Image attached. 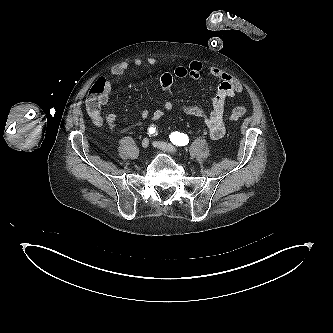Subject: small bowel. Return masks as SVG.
Segmentation results:
<instances>
[{
    "label": "small bowel",
    "mask_w": 333,
    "mask_h": 333,
    "mask_svg": "<svg viewBox=\"0 0 333 333\" xmlns=\"http://www.w3.org/2000/svg\"><path fill=\"white\" fill-rule=\"evenodd\" d=\"M156 59L153 57L147 58L146 63L148 65H155ZM136 67H140L144 64V61L140 58H136L133 61ZM129 68L128 62H120L114 65L110 73L112 76L120 77L125 74ZM202 71V64L199 61L193 60L187 66H178L174 69L173 73H165L160 78V85L163 93L169 96L172 91L173 78H185L190 77L191 79H198ZM211 76L218 80V84L215 89L214 96L211 101V108L209 111L193 106V105H183L181 110L191 116L201 117L205 120L208 134L212 139H220L225 134L224 125V106L225 101L228 98L233 97L236 93L242 92L243 87L233 76L218 67H212L209 70ZM105 83V93L103 98V105H105L109 100V95L111 92V83L104 79ZM174 108V103L171 100H167L163 105V110H156L152 114L147 109L142 110L141 119L145 120L150 115L153 119L157 120L161 118L164 112H169ZM94 124L103 128L108 125L112 132H117V115L113 112L108 113L105 117L100 116L93 119Z\"/></svg>",
    "instance_id": "1"
}]
</instances>
